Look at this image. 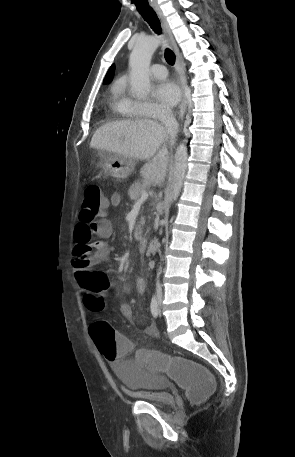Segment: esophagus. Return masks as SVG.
I'll list each match as a JSON object with an SVG mask.
<instances>
[{
  "mask_svg": "<svg viewBox=\"0 0 295 457\" xmlns=\"http://www.w3.org/2000/svg\"><path fill=\"white\" fill-rule=\"evenodd\" d=\"M153 9L154 11L156 12L160 22H161V26L162 28L164 29L165 33H166V36L168 38V41L175 53V57H176V62H175V69L177 71V74H178V77H179V80H180V86H181V90H182V102H181V105H180V108H179V118H182L184 116V113L186 111V108H187V103H188V100H187V94H186V85H187V80H186V76H185V72H184V68H183V65H182V60H181V55H180V52H179V49H178V46L175 42V39L173 37V34L171 32V29L166 21V18L164 16V14L162 13L161 9L159 8V6L157 5H153Z\"/></svg>",
  "mask_w": 295,
  "mask_h": 457,
  "instance_id": "esophagus-1",
  "label": "esophagus"
}]
</instances>
